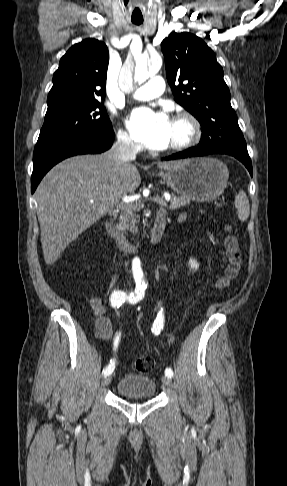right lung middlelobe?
I'll return each mask as SVG.
<instances>
[{"mask_svg": "<svg viewBox=\"0 0 287 486\" xmlns=\"http://www.w3.org/2000/svg\"><path fill=\"white\" fill-rule=\"evenodd\" d=\"M103 99L66 102L48 107L37 143L88 139L112 129Z\"/></svg>", "mask_w": 287, "mask_h": 486, "instance_id": "obj_1", "label": "right lung middle lobe"}]
</instances>
